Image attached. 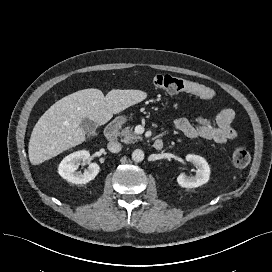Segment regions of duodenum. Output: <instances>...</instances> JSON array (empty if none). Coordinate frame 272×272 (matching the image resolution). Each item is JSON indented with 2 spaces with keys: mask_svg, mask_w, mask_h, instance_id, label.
<instances>
[{
  "mask_svg": "<svg viewBox=\"0 0 272 272\" xmlns=\"http://www.w3.org/2000/svg\"><path fill=\"white\" fill-rule=\"evenodd\" d=\"M121 120H114L109 123L105 130V137L108 141H114L117 138L118 130L121 125ZM163 141L161 139H156L153 142V148L155 150H161L163 148Z\"/></svg>",
  "mask_w": 272,
  "mask_h": 272,
  "instance_id": "duodenum-1",
  "label": "duodenum"
}]
</instances>
